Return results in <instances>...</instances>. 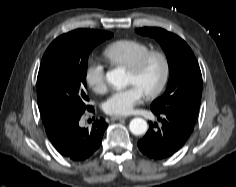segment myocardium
I'll list each match as a JSON object with an SVG mask.
<instances>
[{"mask_svg":"<svg viewBox=\"0 0 236 187\" xmlns=\"http://www.w3.org/2000/svg\"><path fill=\"white\" fill-rule=\"evenodd\" d=\"M158 59L162 64V77L159 84L151 91L144 93V96L147 99H154L161 95L163 91L166 89L171 75V64L169 57L166 53L159 51V50H150L147 53L140 56L129 68L128 71L131 72L133 75L138 76L143 69L145 68L146 64L151 59Z\"/></svg>","mask_w":236,"mask_h":187,"instance_id":"obj_1","label":"myocardium"}]
</instances>
